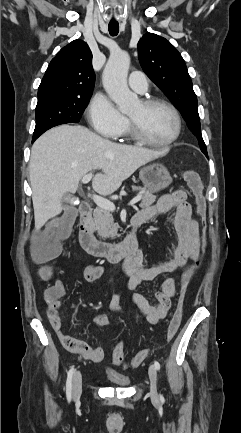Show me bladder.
<instances>
[{
	"label": "bladder",
	"mask_w": 241,
	"mask_h": 433,
	"mask_svg": "<svg viewBox=\"0 0 241 433\" xmlns=\"http://www.w3.org/2000/svg\"><path fill=\"white\" fill-rule=\"evenodd\" d=\"M107 379L111 383V385L115 387L125 388L131 384V380L129 376L119 374L115 371L112 373H108Z\"/></svg>",
	"instance_id": "31cf9c89"
}]
</instances>
